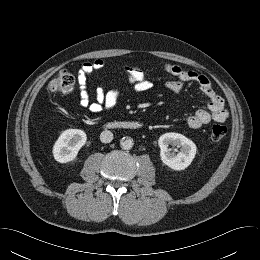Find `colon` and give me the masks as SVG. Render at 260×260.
<instances>
[{
    "mask_svg": "<svg viewBox=\"0 0 260 260\" xmlns=\"http://www.w3.org/2000/svg\"><path fill=\"white\" fill-rule=\"evenodd\" d=\"M75 77L67 71L61 70L48 84V90L52 93L63 95L71 94L74 91ZM227 134V127L223 124H214L210 128V137L213 141L222 140Z\"/></svg>",
    "mask_w": 260,
    "mask_h": 260,
    "instance_id": "obj_1",
    "label": "colon"
}]
</instances>
